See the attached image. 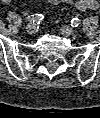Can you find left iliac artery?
<instances>
[{"mask_svg": "<svg viewBox=\"0 0 100 118\" xmlns=\"http://www.w3.org/2000/svg\"><path fill=\"white\" fill-rule=\"evenodd\" d=\"M81 24V20L78 18H73L71 20V26L72 27H78Z\"/></svg>", "mask_w": 100, "mask_h": 118, "instance_id": "obj_1", "label": "left iliac artery"}]
</instances>
